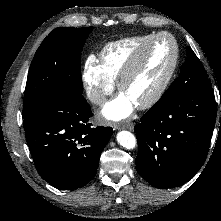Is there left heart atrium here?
I'll return each instance as SVG.
<instances>
[{"label": "left heart atrium", "instance_id": "obj_1", "mask_svg": "<svg viewBox=\"0 0 221 221\" xmlns=\"http://www.w3.org/2000/svg\"><path fill=\"white\" fill-rule=\"evenodd\" d=\"M135 104L123 93L105 105L102 115L111 121H121L129 117Z\"/></svg>", "mask_w": 221, "mask_h": 221}]
</instances>
